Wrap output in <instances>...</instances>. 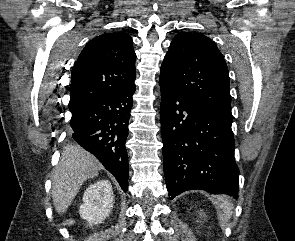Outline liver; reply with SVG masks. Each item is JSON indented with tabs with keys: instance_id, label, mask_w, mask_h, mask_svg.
Returning a JSON list of instances; mask_svg holds the SVG:
<instances>
[{
	"instance_id": "obj_1",
	"label": "liver",
	"mask_w": 295,
	"mask_h": 241,
	"mask_svg": "<svg viewBox=\"0 0 295 241\" xmlns=\"http://www.w3.org/2000/svg\"><path fill=\"white\" fill-rule=\"evenodd\" d=\"M102 164L80 146L68 145L53 172L52 200L59 214L66 212L85 180L98 175Z\"/></svg>"
}]
</instances>
